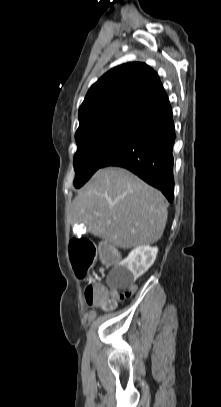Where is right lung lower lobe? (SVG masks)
I'll list each match as a JSON object with an SVG mask.
<instances>
[{"mask_svg": "<svg viewBox=\"0 0 221 407\" xmlns=\"http://www.w3.org/2000/svg\"><path fill=\"white\" fill-rule=\"evenodd\" d=\"M174 122L170 103L144 119L127 140L102 164L126 168L174 199Z\"/></svg>", "mask_w": 221, "mask_h": 407, "instance_id": "1", "label": "right lung lower lobe"}]
</instances>
